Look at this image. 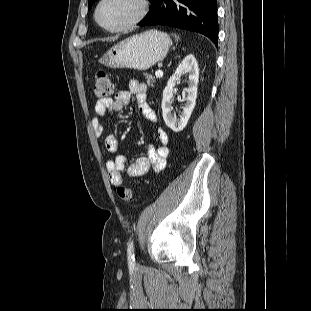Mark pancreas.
<instances>
[{
  "label": "pancreas",
  "instance_id": "pancreas-1",
  "mask_svg": "<svg viewBox=\"0 0 311 311\" xmlns=\"http://www.w3.org/2000/svg\"><path fill=\"white\" fill-rule=\"evenodd\" d=\"M144 76L147 79V84L151 87H154V84L156 83L155 77L147 73H144Z\"/></svg>",
  "mask_w": 311,
  "mask_h": 311
}]
</instances>
